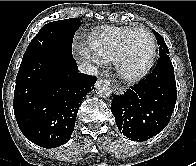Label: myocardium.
Segmentation results:
<instances>
[{
	"label": "myocardium",
	"instance_id": "1",
	"mask_svg": "<svg viewBox=\"0 0 196 166\" xmlns=\"http://www.w3.org/2000/svg\"><path fill=\"white\" fill-rule=\"evenodd\" d=\"M137 32H145L150 39V54L146 63L136 71L127 72L124 68L125 60L129 54V43L132 36ZM157 53L156 40L153 33L145 27L133 28L126 36L121 51L115 59V71L119 78L124 81L133 82L143 78L154 66Z\"/></svg>",
	"mask_w": 196,
	"mask_h": 166
}]
</instances>
